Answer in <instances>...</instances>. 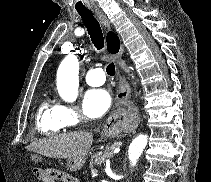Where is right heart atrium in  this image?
Here are the masks:
<instances>
[{"label":"right heart atrium","mask_w":211,"mask_h":182,"mask_svg":"<svg viewBox=\"0 0 211 182\" xmlns=\"http://www.w3.org/2000/svg\"><path fill=\"white\" fill-rule=\"evenodd\" d=\"M61 108L64 119L68 126H75L82 121L83 115L77 107L61 105Z\"/></svg>","instance_id":"obj_1"}]
</instances>
